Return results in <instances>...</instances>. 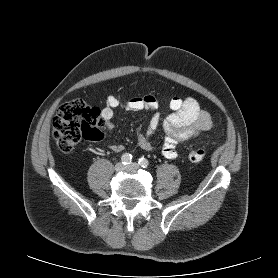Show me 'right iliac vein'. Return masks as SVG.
I'll use <instances>...</instances> for the list:
<instances>
[{
    "label": "right iliac vein",
    "instance_id": "1",
    "mask_svg": "<svg viewBox=\"0 0 278 278\" xmlns=\"http://www.w3.org/2000/svg\"><path fill=\"white\" fill-rule=\"evenodd\" d=\"M125 169H126V166L121 162H119L115 165V170L117 172L124 171Z\"/></svg>",
    "mask_w": 278,
    "mask_h": 278
}]
</instances>
